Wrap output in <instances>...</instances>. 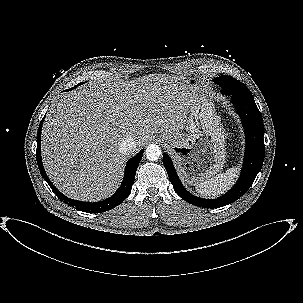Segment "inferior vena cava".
<instances>
[{"label": "inferior vena cava", "mask_w": 303, "mask_h": 303, "mask_svg": "<svg viewBox=\"0 0 303 303\" xmlns=\"http://www.w3.org/2000/svg\"><path fill=\"white\" fill-rule=\"evenodd\" d=\"M136 148V142L132 137L125 138L119 145V151L123 154H130Z\"/></svg>", "instance_id": "602c4592"}]
</instances>
